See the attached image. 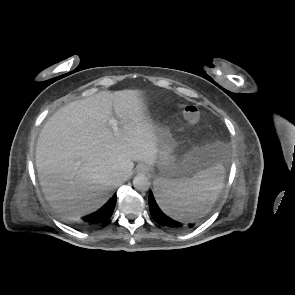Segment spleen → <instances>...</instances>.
Wrapping results in <instances>:
<instances>
[{
  "instance_id": "3e777b00",
  "label": "spleen",
  "mask_w": 295,
  "mask_h": 295,
  "mask_svg": "<svg viewBox=\"0 0 295 295\" xmlns=\"http://www.w3.org/2000/svg\"><path fill=\"white\" fill-rule=\"evenodd\" d=\"M225 178L221 164L182 180L156 179L155 197L164 213L180 220L203 217L216 201Z\"/></svg>"
}]
</instances>
